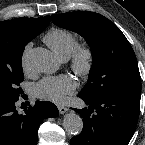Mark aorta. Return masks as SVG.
Listing matches in <instances>:
<instances>
[{
	"label": "aorta",
	"mask_w": 145,
	"mask_h": 145,
	"mask_svg": "<svg viewBox=\"0 0 145 145\" xmlns=\"http://www.w3.org/2000/svg\"><path fill=\"white\" fill-rule=\"evenodd\" d=\"M26 61L30 67L44 73L53 71L56 65L52 54L43 48L32 49L28 53ZM63 126L68 134L78 135L83 129V120L78 114L71 112L64 116Z\"/></svg>",
	"instance_id": "1"
}]
</instances>
